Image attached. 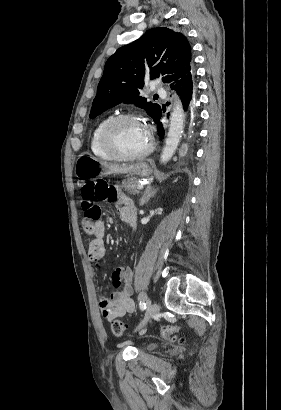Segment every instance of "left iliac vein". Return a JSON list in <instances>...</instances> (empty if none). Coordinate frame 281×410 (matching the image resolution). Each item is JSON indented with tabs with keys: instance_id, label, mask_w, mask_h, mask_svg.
Returning <instances> with one entry per match:
<instances>
[{
	"instance_id": "left-iliac-vein-1",
	"label": "left iliac vein",
	"mask_w": 281,
	"mask_h": 410,
	"mask_svg": "<svg viewBox=\"0 0 281 410\" xmlns=\"http://www.w3.org/2000/svg\"><path fill=\"white\" fill-rule=\"evenodd\" d=\"M158 312H159V305L148 301L146 315L144 319L142 320V322L139 324V326L136 328V330L144 327L147 324V322L150 321L151 318L155 316Z\"/></svg>"
}]
</instances>
